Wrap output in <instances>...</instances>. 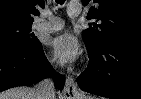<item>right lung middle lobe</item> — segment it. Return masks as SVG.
Wrapping results in <instances>:
<instances>
[{
  "label": "right lung middle lobe",
  "instance_id": "1",
  "mask_svg": "<svg viewBox=\"0 0 141 99\" xmlns=\"http://www.w3.org/2000/svg\"><path fill=\"white\" fill-rule=\"evenodd\" d=\"M32 22L4 21L0 22V45L29 46L39 43L31 33Z\"/></svg>",
  "mask_w": 141,
  "mask_h": 99
}]
</instances>
